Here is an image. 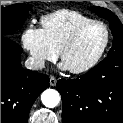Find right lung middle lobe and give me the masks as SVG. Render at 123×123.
Instances as JSON below:
<instances>
[{
  "instance_id": "dd1d6c3e",
  "label": "right lung middle lobe",
  "mask_w": 123,
  "mask_h": 123,
  "mask_svg": "<svg viewBox=\"0 0 123 123\" xmlns=\"http://www.w3.org/2000/svg\"><path fill=\"white\" fill-rule=\"evenodd\" d=\"M31 8L27 4L1 7V36H7L9 33L21 28Z\"/></svg>"
}]
</instances>
